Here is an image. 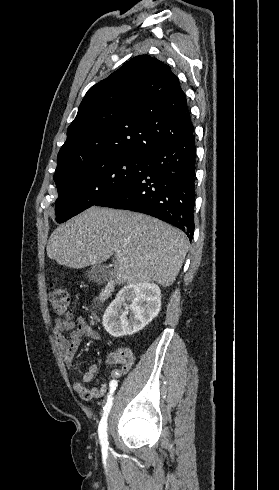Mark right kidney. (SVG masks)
<instances>
[{
  "instance_id": "1",
  "label": "right kidney",
  "mask_w": 279,
  "mask_h": 490,
  "mask_svg": "<svg viewBox=\"0 0 279 490\" xmlns=\"http://www.w3.org/2000/svg\"><path fill=\"white\" fill-rule=\"evenodd\" d=\"M126 300H129L131 304H126ZM160 310L161 290L159 286L150 284V282L127 284L105 310L102 316V326L113 338L132 336L152 322Z\"/></svg>"
}]
</instances>
